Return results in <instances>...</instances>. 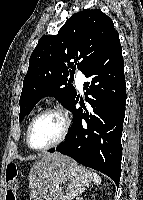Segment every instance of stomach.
<instances>
[{
  "mask_svg": "<svg viewBox=\"0 0 143 200\" xmlns=\"http://www.w3.org/2000/svg\"><path fill=\"white\" fill-rule=\"evenodd\" d=\"M92 181L89 169L71 163L56 171L44 200H73L84 192Z\"/></svg>",
  "mask_w": 143,
  "mask_h": 200,
  "instance_id": "0dacf381",
  "label": "stomach"
}]
</instances>
